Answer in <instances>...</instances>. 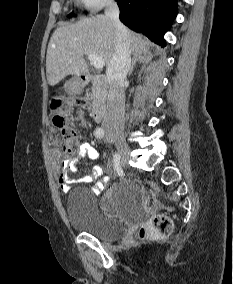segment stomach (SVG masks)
Listing matches in <instances>:
<instances>
[{
	"label": "stomach",
	"instance_id": "1",
	"mask_svg": "<svg viewBox=\"0 0 233 284\" xmlns=\"http://www.w3.org/2000/svg\"><path fill=\"white\" fill-rule=\"evenodd\" d=\"M65 88L72 93H78L80 91V86L73 82H68Z\"/></svg>",
	"mask_w": 233,
	"mask_h": 284
}]
</instances>
